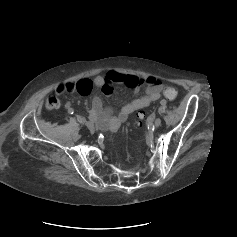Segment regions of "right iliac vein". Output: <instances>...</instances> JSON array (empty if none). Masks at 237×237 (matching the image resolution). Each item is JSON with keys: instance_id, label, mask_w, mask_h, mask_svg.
I'll list each match as a JSON object with an SVG mask.
<instances>
[{"instance_id": "right-iliac-vein-1", "label": "right iliac vein", "mask_w": 237, "mask_h": 237, "mask_svg": "<svg viewBox=\"0 0 237 237\" xmlns=\"http://www.w3.org/2000/svg\"><path fill=\"white\" fill-rule=\"evenodd\" d=\"M86 126H87V128H88L90 131H94V130H95V125H94V123L91 122V121H88V122L86 123Z\"/></svg>"}]
</instances>
